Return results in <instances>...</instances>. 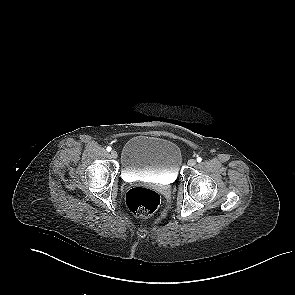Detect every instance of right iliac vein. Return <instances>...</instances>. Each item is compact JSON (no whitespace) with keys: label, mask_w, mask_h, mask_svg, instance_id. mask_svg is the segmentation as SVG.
<instances>
[{"label":"right iliac vein","mask_w":295,"mask_h":295,"mask_svg":"<svg viewBox=\"0 0 295 295\" xmlns=\"http://www.w3.org/2000/svg\"><path fill=\"white\" fill-rule=\"evenodd\" d=\"M110 154H111L112 158H117V156H118V154L115 150H112Z\"/></svg>","instance_id":"right-iliac-vein-1"}]
</instances>
